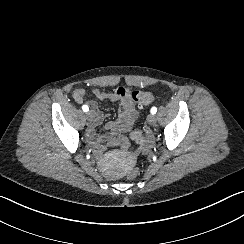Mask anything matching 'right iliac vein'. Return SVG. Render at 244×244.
Segmentation results:
<instances>
[{
  "instance_id": "obj_1",
  "label": "right iliac vein",
  "mask_w": 244,
  "mask_h": 244,
  "mask_svg": "<svg viewBox=\"0 0 244 244\" xmlns=\"http://www.w3.org/2000/svg\"><path fill=\"white\" fill-rule=\"evenodd\" d=\"M86 117L88 121H93V119L95 118L94 113L92 111L86 112Z\"/></svg>"
}]
</instances>
